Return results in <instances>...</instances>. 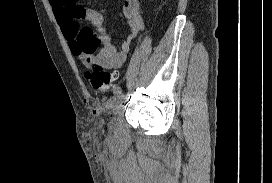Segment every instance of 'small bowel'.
<instances>
[{"label": "small bowel", "instance_id": "1", "mask_svg": "<svg viewBox=\"0 0 272 183\" xmlns=\"http://www.w3.org/2000/svg\"><path fill=\"white\" fill-rule=\"evenodd\" d=\"M50 4L71 52L83 64L91 61L107 69H120L127 59L132 41L145 28L140 1L124 0L122 13L129 24V34L117 48L99 11L83 7L77 0H50ZM83 22L89 23V26L83 25Z\"/></svg>", "mask_w": 272, "mask_h": 183}]
</instances>
